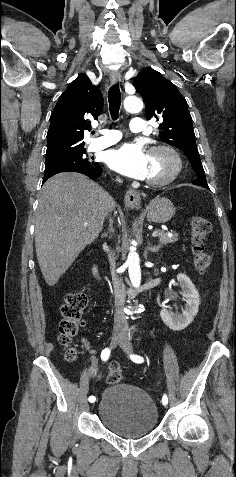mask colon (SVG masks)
Here are the masks:
<instances>
[{
    "label": "colon",
    "instance_id": "5ec220e1",
    "mask_svg": "<svg viewBox=\"0 0 236 477\" xmlns=\"http://www.w3.org/2000/svg\"><path fill=\"white\" fill-rule=\"evenodd\" d=\"M211 223L204 217H196L192 223L191 240L193 244L194 265L200 272H206L211 265V255L204 249L207 236L211 232ZM88 299L83 291L69 293L65 296L60 313L62 319L59 323V333L57 340L59 344L66 348V359L75 361L78 357V350L73 344V340L84 325V313L87 308ZM122 375L119 365L111 363L107 374V383L118 384Z\"/></svg>",
    "mask_w": 236,
    "mask_h": 477
}]
</instances>
